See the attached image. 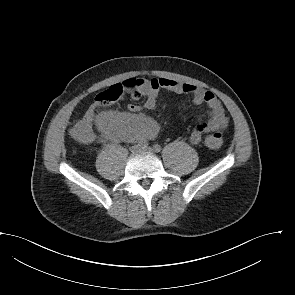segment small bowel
Wrapping results in <instances>:
<instances>
[{
  "mask_svg": "<svg viewBox=\"0 0 295 295\" xmlns=\"http://www.w3.org/2000/svg\"><path fill=\"white\" fill-rule=\"evenodd\" d=\"M136 83L131 90L134 100L146 97L143 105L131 103L127 112L108 111L99 115L98 126L103 133L116 140L133 141L154 137L157 133L156 123L146 116L144 110H153L157 105V98L161 90H168L178 94H189L196 106L206 105L208 118L195 126L189 136V141L196 145L202 141L205 134L221 137L228 126L225 110L211 91L201 87L179 82L169 78L133 79Z\"/></svg>",
  "mask_w": 295,
  "mask_h": 295,
  "instance_id": "c3829d8e",
  "label": "small bowel"
}]
</instances>
